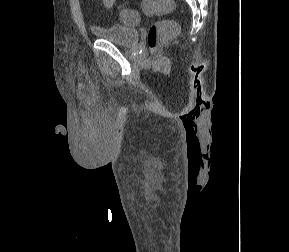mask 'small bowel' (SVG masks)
<instances>
[{
    "mask_svg": "<svg viewBox=\"0 0 289 252\" xmlns=\"http://www.w3.org/2000/svg\"><path fill=\"white\" fill-rule=\"evenodd\" d=\"M101 1L104 7L106 8H112L116 2V0H101Z\"/></svg>",
    "mask_w": 289,
    "mask_h": 252,
    "instance_id": "small-bowel-1",
    "label": "small bowel"
}]
</instances>
